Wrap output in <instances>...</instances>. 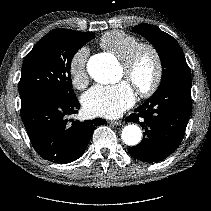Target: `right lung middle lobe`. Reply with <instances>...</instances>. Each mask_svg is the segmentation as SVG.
Instances as JSON below:
<instances>
[{"instance_id":"1","label":"right lung middle lobe","mask_w":211,"mask_h":211,"mask_svg":"<svg viewBox=\"0 0 211 211\" xmlns=\"http://www.w3.org/2000/svg\"><path fill=\"white\" fill-rule=\"evenodd\" d=\"M95 35L70 29H55L38 41L26 56L19 82L21 104L36 97L69 100L72 89L70 66L75 53Z\"/></svg>"}]
</instances>
